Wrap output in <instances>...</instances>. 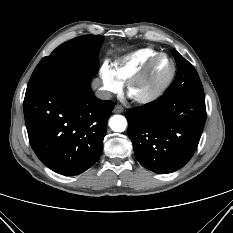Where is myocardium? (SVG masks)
Instances as JSON below:
<instances>
[{
    "label": "myocardium",
    "mask_w": 233,
    "mask_h": 233,
    "mask_svg": "<svg viewBox=\"0 0 233 233\" xmlns=\"http://www.w3.org/2000/svg\"><path fill=\"white\" fill-rule=\"evenodd\" d=\"M161 58H167L171 63L172 69L168 77L149 92L142 95H133L132 92L134 88L148 78L154 66ZM175 74H176V64L174 60L168 54L159 53L139 73H137L128 80L127 92L137 103L147 104L153 102L157 98H159L171 85L175 77Z\"/></svg>",
    "instance_id": "obj_1"
}]
</instances>
